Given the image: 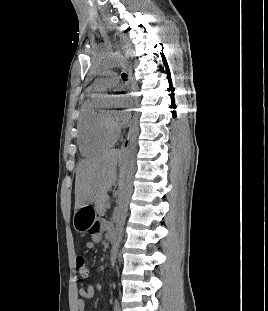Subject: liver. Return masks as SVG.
<instances>
[{"instance_id": "liver-1", "label": "liver", "mask_w": 268, "mask_h": 311, "mask_svg": "<svg viewBox=\"0 0 268 311\" xmlns=\"http://www.w3.org/2000/svg\"><path fill=\"white\" fill-rule=\"evenodd\" d=\"M118 150H109L78 164L75 180V209L106 195L116 179Z\"/></svg>"}]
</instances>
